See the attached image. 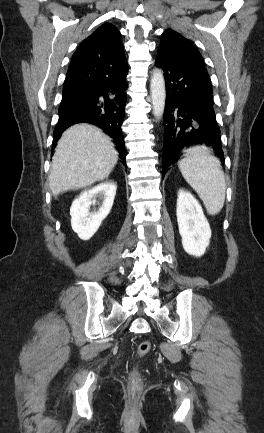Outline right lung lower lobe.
Wrapping results in <instances>:
<instances>
[{
	"mask_svg": "<svg viewBox=\"0 0 264 433\" xmlns=\"http://www.w3.org/2000/svg\"><path fill=\"white\" fill-rule=\"evenodd\" d=\"M127 61L122 64H78L69 67L54 129L53 147L61 134L76 123H90L110 135L125 162L121 125L126 106Z\"/></svg>",
	"mask_w": 264,
	"mask_h": 433,
	"instance_id": "right-lung-lower-lobe-1",
	"label": "right lung lower lobe"
}]
</instances>
